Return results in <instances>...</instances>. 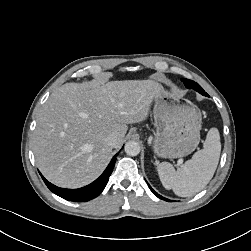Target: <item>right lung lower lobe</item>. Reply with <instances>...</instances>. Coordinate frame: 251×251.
<instances>
[{
    "label": "right lung lower lobe",
    "mask_w": 251,
    "mask_h": 251,
    "mask_svg": "<svg viewBox=\"0 0 251 251\" xmlns=\"http://www.w3.org/2000/svg\"><path fill=\"white\" fill-rule=\"evenodd\" d=\"M118 154H116L111 162L109 163V165L107 166L106 170L103 172V174L96 179L93 183L79 188V189H64V188H59L53 184H51L50 182H48L40 173V175L42 176L43 181L45 182V184L47 185V187L56 195L69 200V201H74V202H85V201H89L95 197H97L105 188L109 176L111 175L114 165H115V161H116V156Z\"/></svg>",
    "instance_id": "98d812e1"
}]
</instances>
